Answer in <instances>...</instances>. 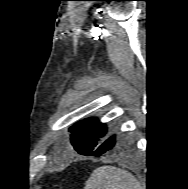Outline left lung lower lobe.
<instances>
[{"label": "left lung lower lobe", "instance_id": "1", "mask_svg": "<svg viewBox=\"0 0 188 189\" xmlns=\"http://www.w3.org/2000/svg\"><path fill=\"white\" fill-rule=\"evenodd\" d=\"M115 144V137L111 136L108 139L100 143L88 156H101L105 152L113 148Z\"/></svg>", "mask_w": 188, "mask_h": 189}]
</instances>
